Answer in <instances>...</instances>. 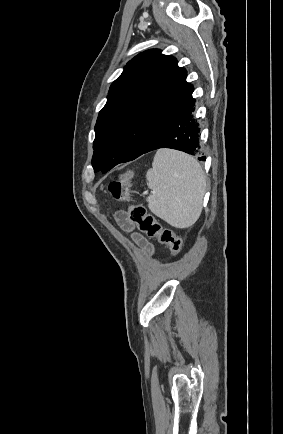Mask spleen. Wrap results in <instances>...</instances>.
<instances>
[{"mask_svg": "<svg viewBox=\"0 0 283 434\" xmlns=\"http://www.w3.org/2000/svg\"><path fill=\"white\" fill-rule=\"evenodd\" d=\"M146 178L152 190L147 202L153 214L176 228H188L198 220L206 181L194 157L174 150H158Z\"/></svg>", "mask_w": 283, "mask_h": 434, "instance_id": "1", "label": "spleen"}]
</instances>
